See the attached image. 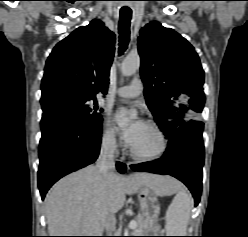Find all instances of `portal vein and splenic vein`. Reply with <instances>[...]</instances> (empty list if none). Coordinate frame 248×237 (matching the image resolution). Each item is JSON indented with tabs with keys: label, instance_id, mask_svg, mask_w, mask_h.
<instances>
[{
	"label": "portal vein and splenic vein",
	"instance_id": "obj_1",
	"mask_svg": "<svg viewBox=\"0 0 248 237\" xmlns=\"http://www.w3.org/2000/svg\"><path fill=\"white\" fill-rule=\"evenodd\" d=\"M136 226H137V222H136L135 220H131V221L129 222V228H130V229H135Z\"/></svg>",
	"mask_w": 248,
	"mask_h": 237
}]
</instances>
